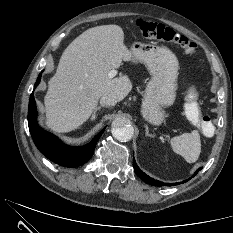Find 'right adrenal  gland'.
I'll use <instances>...</instances> for the list:
<instances>
[{"instance_id":"1","label":"right adrenal gland","mask_w":233,"mask_h":233,"mask_svg":"<svg viewBox=\"0 0 233 233\" xmlns=\"http://www.w3.org/2000/svg\"><path fill=\"white\" fill-rule=\"evenodd\" d=\"M101 108H102L101 106H98V107L95 108V110H94V112H93V114H92V116L90 118L91 121L95 120V118H96V112L98 110H100Z\"/></svg>"}]
</instances>
